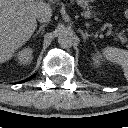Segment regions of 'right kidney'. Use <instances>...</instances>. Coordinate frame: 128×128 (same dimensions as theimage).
<instances>
[{"mask_svg": "<svg viewBox=\"0 0 128 128\" xmlns=\"http://www.w3.org/2000/svg\"><path fill=\"white\" fill-rule=\"evenodd\" d=\"M33 49L31 47H25L16 54V60L19 64L28 65L33 59Z\"/></svg>", "mask_w": 128, "mask_h": 128, "instance_id": "1", "label": "right kidney"}]
</instances>
